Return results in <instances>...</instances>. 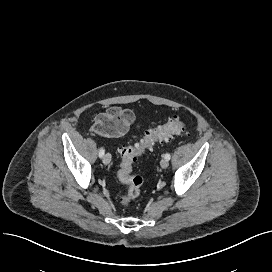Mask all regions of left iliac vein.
I'll return each mask as SVG.
<instances>
[{"mask_svg": "<svg viewBox=\"0 0 272 272\" xmlns=\"http://www.w3.org/2000/svg\"><path fill=\"white\" fill-rule=\"evenodd\" d=\"M160 165H161V167H162L163 169H165V168L168 167L169 162H168L167 159L164 158V159H162V160L160 161Z\"/></svg>", "mask_w": 272, "mask_h": 272, "instance_id": "left-iliac-vein-1", "label": "left iliac vein"}]
</instances>
